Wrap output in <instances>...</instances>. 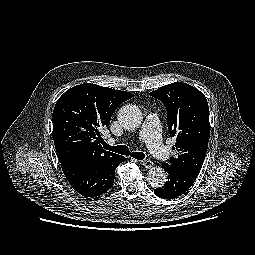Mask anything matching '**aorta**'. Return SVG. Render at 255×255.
Wrapping results in <instances>:
<instances>
[{"instance_id": "1", "label": "aorta", "mask_w": 255, "mask_h": 255, "mask_svg": "<svg viewBox=\"0 0 255 255\" xmlns=\"http://www.w3.org/2000/svg\"><path fill=\"white\" fill-rule=\"evenodd\" d=\"M117 118L125 130H134L142 122V112L136 105L127 104L120 108ZM147 180L153 188H160L167 181V175L162 167L156 166L149 170Z\"/></svg>"}]
</instances>
